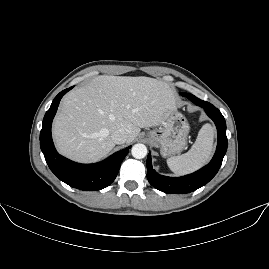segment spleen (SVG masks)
I'll list each match as a JSON object with an SVG mask.
<instances>
[{
  "mask_svg": "<svg viewBox=\"0 0 269 269\" xmlns=\"http://www.w3.org/2000/svg\"><path fill=\"white\" fill-rule=\"evenodd\" d=\"M214 128L205 124L197 134V137L188 152L170 157L167 162L170 169L176 174H183L195 170L205 163L212 153V141Z\"/></svg>",
  "mask_w": 269,
  "mask_h": 269,
  "instance_id": "3e777b00",
  "label": "spleen"
}]
</instances>
